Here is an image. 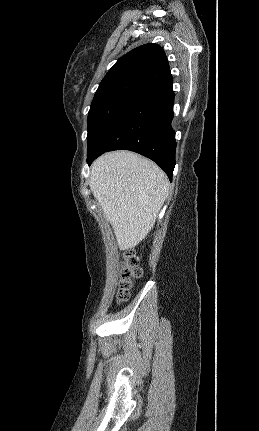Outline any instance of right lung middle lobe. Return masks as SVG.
<instances>
[{
	"label": "right lung middle lobe",
	"mask_w": 259,
	"mask_h": 431,
	"mask_svg": "<svg viewBox=\"0 0 259 431\" xmlns=\"http://www.w3.org/2000/svg\"><path fill=\"white\" fill-rule=\"evenodd\" d=\"M151 89L137 81L96 92L88 113V152L104 132L136 101Z\"/></svg>",
	"instance_id": "right-lung-middle-lobe-1"
}]
</instances>
